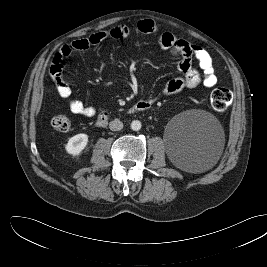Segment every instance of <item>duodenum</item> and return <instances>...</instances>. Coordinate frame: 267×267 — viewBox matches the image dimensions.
Listing matches in <instances>:
<instances>
[{
	"label": "duodenum",
	"mask_w": 267,
	"mask_h": 267,
	"mask_svg": "<svg viewBox=\"0 0 267 267\" xmlns=\"http://www.w3.org/2000/svg\"><path fill=\"white\" fill-rule=\"evenodd\" d=\"M150 106H151L150 103L146 101H139L134 105L131 112L132 113L142 112V111L149 109ZM112 118H113L112 114H110L109 112L103 111L98 114L96 123L98 126H106Z\"/></svg>",
	"instance_id": "obj_1"
}]
</instances>
